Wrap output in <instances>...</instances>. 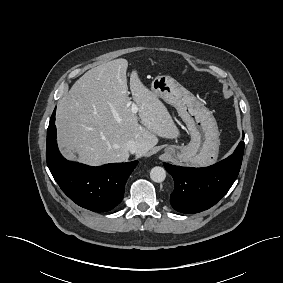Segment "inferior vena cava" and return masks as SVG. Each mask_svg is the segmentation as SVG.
I'll return each mask as SVG.
<instances>
[{
    "instance_id": "602c4592",
    "label": "inferior vena cava",
    "mask_w": 283,
    "mask_h": 283,
    "mask_svg": "<svg viewBox=\"0 0 283 283\" xmlns=\"http://www.w3.org/2000/svg\"><path fill=\"white\" fill-rule=\"evenodd\" d=\"M126 148L131 154H137V153L141 152L140 145L137 144L135 141H132V140L127 142Z\"/></svg>"
}]
</instances>
